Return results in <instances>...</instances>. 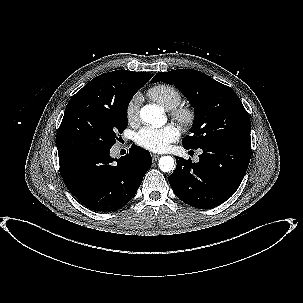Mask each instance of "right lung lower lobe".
<instances>
[{
	"label": "right lung lower lobe",
	"mask_w": 303,
	"mask_h": 303,
	"mask_svg": "<svg viewBox=\"0 0 303 303\" xmlns=\"http://www.w3.org/2000/svg\"><path fill=\"white\" fill-rule=\"evenodd\" d=\"M110 149L58 154L68 190L94 211L110 212L126 205L152 164L150 153L136 145L118 159L110 157Z\"/></svg>",
	"instance_id": "right-lung-lower-lobe-1"
}]
</instances>
